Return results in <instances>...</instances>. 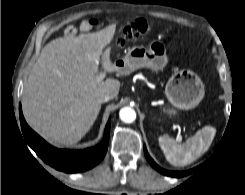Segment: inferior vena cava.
I'll return each mask as SVG.
<instances>
[{
	"label": "inferior vena cava",
	"instance_id": "602c4592",
	"mask_svg": "<svg viewBox=\"0 0 245 195\" xmlns=\"http://www.w3.org/2000/svg\"><path fill=\"white\" fill-rule=\"evenodd\" d=\"M112 99H113V97H112L111 95H109V94H103V95H101V96L98 98V101H99L100 103H104V102H107V101L112 100Z\"/></svg>",
	"mask_w": 245,
	"mask_h": 195
}]
</instances>
